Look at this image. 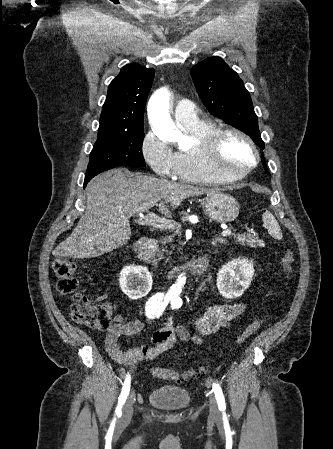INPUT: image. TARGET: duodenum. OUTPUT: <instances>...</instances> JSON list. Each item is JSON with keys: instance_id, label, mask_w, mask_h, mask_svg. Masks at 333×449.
<instances>
[{"instance_id": "410a0bca", "label": "duodenum", "mask_w": 333, "mask_h": 449, "mask_svg": "<svg viewBox=\"0 0 333 449\" xmlns=\"http://www.w3.org/2000/svg\"><path fill=\"white\" fill-rule=\"evenodd\" d=\"M157 241L154 238H145L141 240L137 247L136 253L139 260L144 264H150L156 252ZM208 267V259L200 257L190 264V270L194 274L203 273Z\"/></svg>"}]
</instances>
